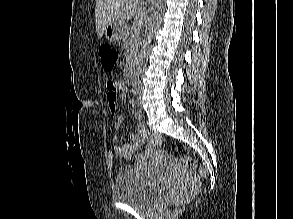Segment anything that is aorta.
<instances>
[{"label":"aorta","instance_id":"762f6f07","mask_svg":"<svg viewBox=\"0 0 293 219\" xmlns=\"http://www.w3.org/2000/svg\"><path fill=\"white\" fill-rule=\"evenodd\" d=\"M165 12V0H152L151 1V16L149 19V30L147 33L146 40L142 46L139 61L137 63V77L142 73L149 57L150 45L155 30L160 25L163 15Z\"/></svg>","mask_w":293,"mask_h":219}]
</instances>
